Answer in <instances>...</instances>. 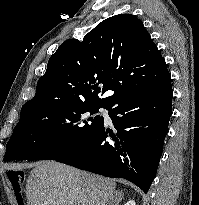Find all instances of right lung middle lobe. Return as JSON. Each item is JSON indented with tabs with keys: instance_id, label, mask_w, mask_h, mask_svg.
I'll list each match as a JSON object with an SVG mask.
<instances>
[{
	"instance_id": "obj_1",
	"label": "right lung middle lobe",
	"mask_w": 199,
	"mask_h": 205,
	"mask_svg": "<svg viewBox=\"0 0 199 205\" xmlns=\"http://www.w3.org/2000/svg\"><path fill=\"white\" fill-rule=\"evenodd\" d=\"M99 108L67 102L23 106L4 161L56 160L76 152L103 126V117L91 116Z\"/></svg>"
}]
</instances>
